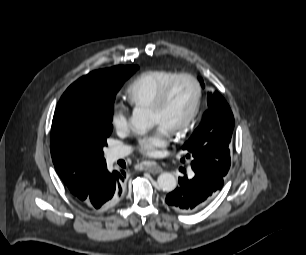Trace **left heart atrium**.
<instances>
[{
    "label": "left heart atrium",
    "instance_id": "39dd6f15",
    "mask_svg": "<svg viewBox=\"0 0 306 255\" xmlns=\"http://www.w3.org/2000/svg\"><path fill=\"white\" fill-rule=\"evenodd\" d=\"M169 131L163 126L158 127L149 135L139 140V151L145 156L157 157L161 149L168 145Z\"/></svg>",
    "mask_w": 306,
    "mask_h": 255
}]
</instances>
